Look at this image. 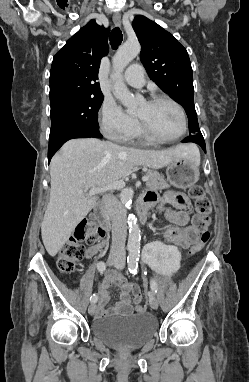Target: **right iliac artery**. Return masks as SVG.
<instances>
[{
  "mask_svg": "<svg viewBox=\"0 0 249 382\" xmlns=\"http://www.w3.org/2000/svg\"><path fill=\"white\" fill-rule=\"evenodd\" d=\"M97 268H98L99 272L102 274V273L105 271V269H106V265H105L104 262L101 261V262H99V263L97 264ZM97 300H98V297H97L96 294H93V295L90 297V301H91V303H96Z\"/></svg>",
  "mask_w": 249,
  "mask_h": 382,
  "instance_id": "right-iliac-artery-1",
  "label": "right iliac artery"
}]
</instances>
